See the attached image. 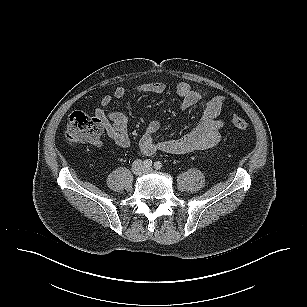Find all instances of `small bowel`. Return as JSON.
<instances>
[{
    "instance_id": "1",
    "label": "small bowel",
    "mask_w": 307,
    "mask_h": 307,
    "mask_svg": "<svg viewBox=\"0 0 307 307\" xmlns=\"http://www.w3.org/2000/svg\"><path fill=\"white\" fill-rule=\"evenodd\" d=\"M136 89L140 93L161 94L165 92L166 86L161 82H148L138 85ZM175 90L181 97V109L186 110L196 105L201 106V119L189 133L179 138L160 141H156L154 136L160 130L161 124L158 121L150 122L139 141V149L144 155L150 156L157 152L187 155L192 152L210 149L221 140L224 122L219 118V114L226 103L225 97L195 89L186 82H179ZM126 94L127 89L123 86H118L114 90L113 96L120 99ZM111 101L112 96L106 95L102 98V105L107 106ZM95 115L101 122L107 136L119 148L127 149L130 146L128 117L124 111L106 112L103 108H97ZM93 145L99 147L102 142L98 140Z\"/></svg>"
}]
</instances>
